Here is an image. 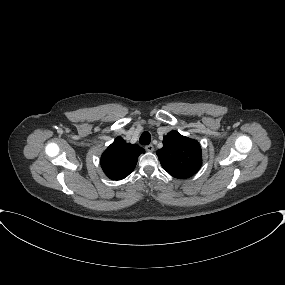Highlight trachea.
I'll list each match as a JSON object with an SVG mask.
<instances>
[{
	"mask_svg": "<svg viewBox=\"0 0 285 285\" xmlns=\"http://www.w3.org/2000/svg\"><path fill=\"white\" fill-rule=\"evenodd\" d=\"M140 144L142 145H149L151 142V135L148 131H145L141 134L139 139Z\"/></svg>",
	"mask_w": 285,
	"mask_h": 285,
	"instance_id": "3493384b",
	"label": "trachea"
}]
</instances>
